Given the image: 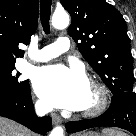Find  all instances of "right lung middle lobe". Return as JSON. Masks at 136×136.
<instances>
[{
  "instance_id": "1",
  "label": "right lung middle lobe",
  "mask_w": 136,
  "mask_h": 136,
  "mask_svg": "<svg viewBox=\"0 0 136 136\" xmlns=\"http://www.w3.org/2000/svg\"><path fill=\"white\" fill-rule=\"evenodd\" d=\"M20 73L15 71V62L0 64V95L17 94L29 84L28 80L20 81Z\"/></svg>"
}]
</instances>
